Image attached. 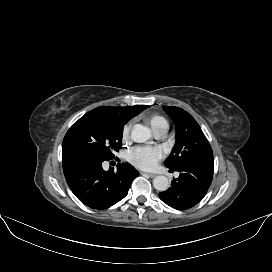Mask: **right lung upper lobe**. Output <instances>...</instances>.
<instances>
[{
	"label": "right lung upper lobe",
	"mask_w": 272,
	"mask_h": 272,
	"mask_svg": "<svg viewBox=\"0 0 272 272\" xmlns=\"http://www.w3.org/2000/svg\"><path fill=\"white\" fill-rule=\"evenodd\" d=\"M105 107L107 109H111L119 113L121 116H123L127 121L131 119L132 117L136 116L140 112H142L144 109H146L147 105H141V106H129V107H113V106H101Z\"/></svg>",
	"instance_id": "right-lung-upper-lobe-1"
}]
</instances>
